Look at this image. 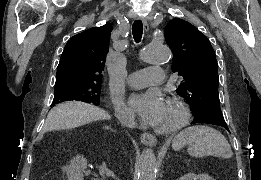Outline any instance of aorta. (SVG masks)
<instances>
[{"label":"aorta","mask_w":261,"mask_h":180,"mask_svg":"<svg viewBox=\"0 0 261 180\" xmlns=\"http://www.w3.org/2000/svg\"><path fill=\"white\" fill-rule=\"evenodd\" d=\"M142 61L151 64H162L171 58V51L167 46L149 44L139 52ZM156 158L151 149H145L137 164L138 180H156Z\"/></svg>","instance_id":"1"}]
</instances>
